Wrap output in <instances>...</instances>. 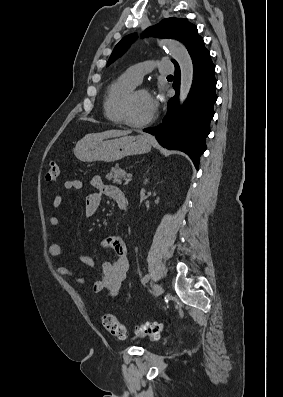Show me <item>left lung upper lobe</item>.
Wrapping results in <instances>:
<instances>
[{"mask_svg": "<svg viewBox=\"0 0 283 397\" xmlns=\"http://www.w3.org/2000/svg\"><path fill=\"white\" fill-rule=\"evenodd\" d=\"M143 36H154L158 38H172L182 42L188 52L197 48L204 43L203 38L198 35L197 27L187 21V19L167 18L162 20L159 24L149 27L143 33ZM136 35H129L124 37L114 48L107 66L120 57L129 47L130 43L134 41ZM174 65L177 64L172 60Z\"/></svg>", "mask_w": 283, "mask_h": 397, "instance_id": "left-lung-upper-lobe-1", "label": "left lung upper lobe"}]
</instances>
